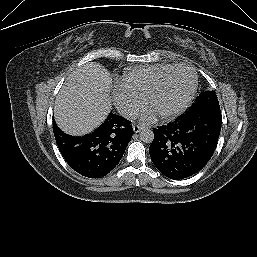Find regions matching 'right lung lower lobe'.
Instances as JSON below:
<instances>
[{
  "mask_svg": "<svg viewBox=\"0 0 257 257\" xmlns=\"http://www.w3.org/2000/svg\"><path fill=\"white\" fill-rule=\"evenodd\" d=\"M53 131L66 162L88 178L104 177L114 169L133 135L131 121L112 113L100 127L85 136L67 135L58 128L55 121Z\"/></svg>",
  "mask_w": 257,
  "mask_h": 257,
  "instance_id": "right-lung-lower-lobe-1",
  "label": "right lung lower lobe"
}]
</instances>
